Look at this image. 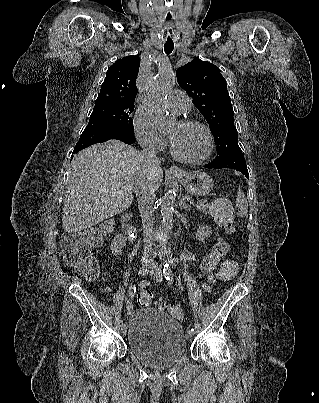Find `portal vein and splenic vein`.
Segmentation results:
<instances>
[{
    "instance_id": "18ae733b",
    "label": "portal vein and splenic vein",
    "mask_w": 319,
    "mask_h": 403,
    "mask_svg": "<svg viewBox=\"0 0 319 403\" xmlns=\"http://www.w3.org/2000/svg\"><path fill=\"white\" fill-rule=\"evenodd\" d=\"M201 202H206V201L205 200L199 201V202L196 203V205H199Z\"/></svg>"
}]
</instances>
